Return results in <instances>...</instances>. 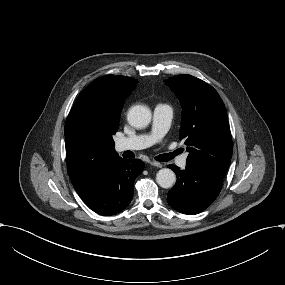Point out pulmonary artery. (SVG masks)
Listing matches in <instances>:
<instances>
[{
    "instance_id": "1",
    "label": "pulmonary artery",
    "mask_w": 285,
    "mask_h": 285,
    "mask_svg": "<svg viewBox=\"0 0 285 285\" xmlns=\"http://www.w3.org/2000/svg\"><path fill=\"white\" fill-rule=\"evenodd\" d=\"M175 114L168 104H157L154 109V119L152 132L149 135H134L130 137H124L116 140L115 149L117 152H123L125 150L146 148L148 146H156L157 142L167 131L174 119ZM170 158L176 157L175 151L169 152ZM188 154L180 156L177 160V165L181 168L187 166Z\"/></svg>"
}]
</instances>
